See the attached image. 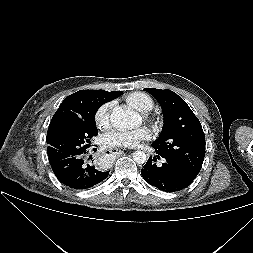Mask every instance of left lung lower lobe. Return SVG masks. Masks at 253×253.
<instances>
[{"instance_id":"left-lung-lower-lobe-1","label":"left lung lower lobe","mask_w":253,"mask_h":253,"mask_svg":"<svg viewBox=\"0 0 253 253\" xmlns=\"http://www.w3.org/2000/svg\"><path fill=\"white\" fill-rule=\"evenodd\" d=\"M160 155L153 159L150 157L141 169L142 177L152 186L165 192L180 191L188 187L197 175L184 168L174 160L164 158L162 166H157L154 162Z\"/></svg>"}]
</instances>
